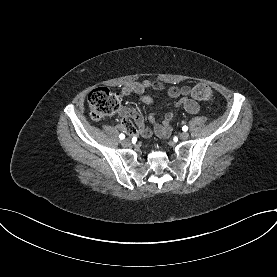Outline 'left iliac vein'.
<instances>
[{
	"instance_id": "4c4485c4",
	"label": "left iliac vein",
	"mask_w": 277,
	"mask_h": 277,
	"mask_svg": "<svg viewBox=\"0 0 277 277\" xmlns=\"http://www.w3.org/2000/svg\"><path fill=\"white\" fill-rule=\"evenodd\" d=\"M179 137L182 140H186L189 138V134L187 132H182V133H180Z\"/></svg>"
}]
</instances>
